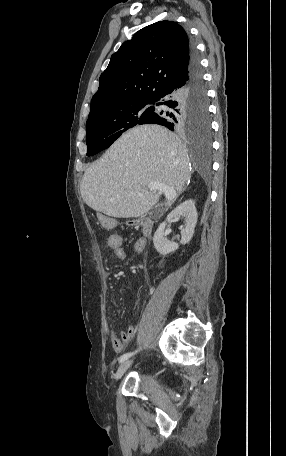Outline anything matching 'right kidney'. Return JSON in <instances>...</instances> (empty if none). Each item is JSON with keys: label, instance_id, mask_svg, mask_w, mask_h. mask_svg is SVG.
I'll list each match as a JSON object with an SVG mask.
<instances>
[{"label": "right kidney", "instance_id": "right-kidney-1", "mask_svg": "<svg viewBox=\"0 0 286 456\" xmlns=\"http://www.w3.org/2000/svg\"><path fill=\"white\" fill-rule=\"evenodd\" d=\"M181 217L185 218V227L181 230V244H187L193 237L194 228L197 223V211L195 203L193 200L189 199L178 205L174 210H172L166 221L161 223L156 230L153 238L154 247L161 255L165 256L170 252H174L179 248V244L171 242L167 239L165 234V227L167 221L174 219H180Z\"/></svg>", "mask_w": 286, "mask_h": 456}]
</instances>
